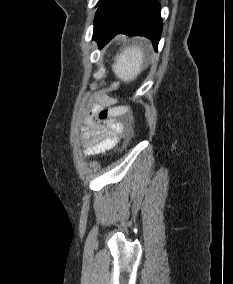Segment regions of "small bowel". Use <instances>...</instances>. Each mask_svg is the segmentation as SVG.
I'll return each instance as SVG.
<instances>
[{
	"mask_svg": "<svg viewBox=\"0 0 233 284\" xmlns=\"http://www.w3.org/2000/svg\"><path fill=\"white\" fill-rule=\"evenodd\" d=\"M100 101L105 105L114 103L112 98L102 97ZM132 132V120L128 115L119 120L109 119L105 124L95 121L88 116L82 128L83 145L86 155H97L113 148L120 139Z\"/></svg>",
	"mask_w": 233,
	"mask_h": 284,
	"instance_id": "obj_1",
	"label": "small bowel"
}]
</instances>
